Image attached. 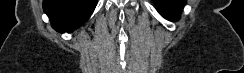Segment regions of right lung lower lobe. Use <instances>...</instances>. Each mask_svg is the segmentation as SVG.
<instances>
[{
	"label": "right lung lower lobe",
	"mask_w": 244,
	"mask_h": 73,
	"mask_svg": "<svg viewBox=\"0 0 244 73\" xmlns=\"http://www.w3.org/2000/svg\"><path fill=\"white\" fill-rule=\"evenodd\" d=\"M97 0H43V9L52 27L60 32H73L90 17Z\"/></svg>",
	"instance_id": "98d812e1"
}]
</instances>
